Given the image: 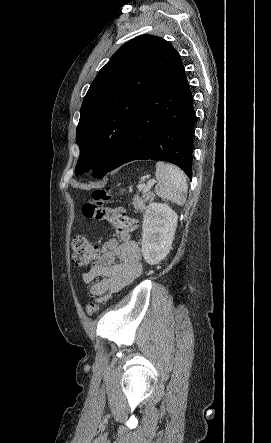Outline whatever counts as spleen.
<instances>
[{
	"mask_svg": "<svg viewBox=\"0 0 271 443\" xmlns=\"http://www.w3.org/2000/svg\"><path fill=\"white\" fill-rule=\"evenodd\" d=\"M158 184L155 186V194L163 200H171L177 206H184L186 202L187 184L184 172L179 168L157 162L156 174Z\"/></svg>",
	"mask_w": 271,
	"mask_h": 443,
	"instance_id": "spleen-1",
	"label": "spleen"
}]
</instances>
